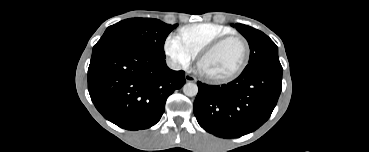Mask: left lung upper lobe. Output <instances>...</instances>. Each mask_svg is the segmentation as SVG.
Listing matches in <instances>:
<instances>
[{
    "instance_id": "5c2ea615",
    "label": "left lung upper lobe",
    "mask_w": 369,
    "mask_h": 152,
    "mask_svg": "<svg viewBox=\"0 0 369 152\" xmlns=\"http://www.w3.org/2000/svg\"><path fill=\"white\" fill-rule=\"evenodd\" d=\"M235 26L250 46L249 64L242 74H250L260 69H282L278 48L267 35L247 25L236 24Z\"/></svg>"
}]
</instances>
